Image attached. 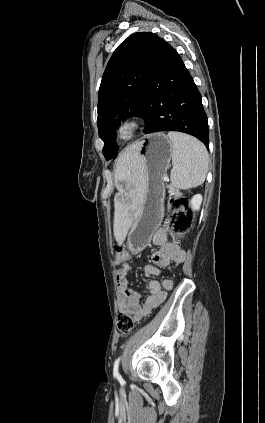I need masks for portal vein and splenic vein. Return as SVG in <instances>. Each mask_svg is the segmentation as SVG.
Returning <instances> with one entry per match:
<instances>
[{"label": "portal vein and splenic vein", "instance_id": "1", "mask_svg": "<svg viewBox=\"0 0 265 423\" xmlns=\"http://www.w3.org/2000/svg\"><path fill=\"white\" fill-rule=\"evenodd\" d=\"M165 181H169V178L167 176L165 177Z\"/></svg>", "mask_w": 265, "mask_h": 423}]
</instances>
